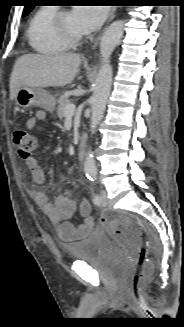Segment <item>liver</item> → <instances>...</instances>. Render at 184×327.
<instances>
[{
	"label": "liver",
	"mask_w": 184,
	"mask_h": 327,
	"mask_svg": "<svg viewBox=\"0 0 184 327\" xmlns=\"http://www.w3.org/2000/svg\"><path fill=\"white\" fill-rule=\"evenodd\" d=\"M79 54H26L19 57L10 77V99L14 100L21 87H64L76 77Z\"/></svg>",
	"instance_id": "liver-1"
}]
</instances>
